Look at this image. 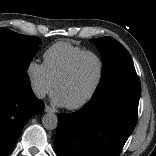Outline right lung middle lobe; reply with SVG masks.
I'll return each instance as SVG.
<instances>
[{"label":"right lung middle lobe","mask_w":156,"mask_h":156,"mask_svg":"<svg viewBox=\"0 0 156 156\" xmlns=\"http://www.w3.org/2000/svg\"><path fill=\"white\" fill-rule=\"evenodd\" d=\"M41 41L6 28H0V75L29 81L27 69Z\"/></svg>","instance_id":"obj_1"}]
</instances>
